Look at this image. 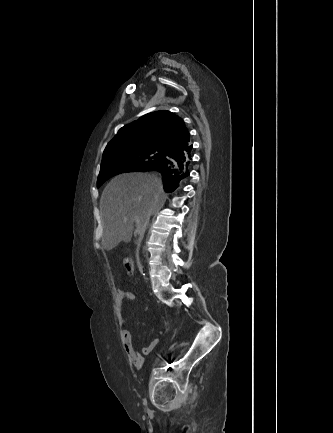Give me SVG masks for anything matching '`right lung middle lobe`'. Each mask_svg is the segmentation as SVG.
I'll use <instances>...</instances> for the list:
<instances>
[{"label": "right lung middle lobe", "mask_w": 333, "mask_h": 433, "mask_svg": "<svg viewBox=\"0 0 333 433\" xmlns=\"http://www.w3.org/2000/svg\"><path fill=\"white\" fill-rule=\"evenodd\" d=\"M166 153L156 148H129L102 158L97 187L110 177L129 171H147L158 164Z\"/></svg>", "instance_id": "obj_1"}]
</instances>
